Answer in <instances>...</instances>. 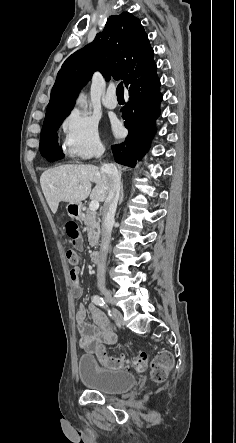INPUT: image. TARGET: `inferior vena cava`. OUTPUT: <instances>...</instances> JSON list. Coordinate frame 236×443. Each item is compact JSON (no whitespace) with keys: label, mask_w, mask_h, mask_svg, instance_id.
<instances>
[{"label":"inferior vena cava","mask_w":236,"mask_h":443,"mask_svg":"<svg viewBox=\"0 0 236 443\" xmlns=\"http://www.w3.org/2000/svg\"><path fill=\"white\" fill-rule=\"evenodd\" d=\"M104 150H100L97 157H101ZM101 173L107 180V197L103 207V222H102V237L100 244V258L97 264V281L100 291L103 295L106 294L105 288V271L106 258L109 250L112 226L114 224V217L116 213L117 203L120 194V176L116 166L112 164H102Z\"/></svg>","instance_id":"1"}]
</instances>
